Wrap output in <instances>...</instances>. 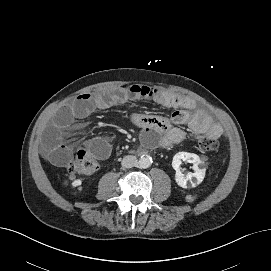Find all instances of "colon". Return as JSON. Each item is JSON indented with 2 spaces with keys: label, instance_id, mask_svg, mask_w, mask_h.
I'll list each match as a JSON object with an SVG mask.
<instances>
[{
  "label": "colon",
  "instance_id": "5ec220e1",
  "mask_svg": "<svg viewBox=\"0 0 271 271\" xmlns=\"http://www.w3.org/2000/svg\"><path fill=\"white\" fill-rule=\"evenodd\" d=\"M218 145V139L213 136L202 137L199 141V148L204 152L213 151ZM98 167V162L93 155L86 150H79L68 164V171L71 174L89 175L97 171Z\"/></svg>",
  "mask_w": 271,
  "mask_h": 271
}]
</instances>
